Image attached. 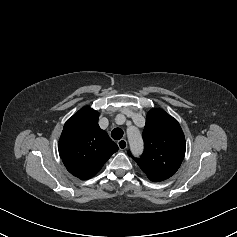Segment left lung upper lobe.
I'll return each instance as SVG.
<instances>
[{
    "label": "left lung upper lobe",
    "instance_id": "5c2ea615",
    "mask_svg": "<svg viewBox=\"0 0 237 237\" xmlns=\"http://www.w3.org/2000/svg\"><path fill=\"white\" fill-rule=\"evenodd\" d=\"M143 140V155L133 158L142 171L154 182L171 177L180 167L186 150L179 123L165 111L153 108L147 114Z\"/></svg>",
    "mask_w": 237,
    "mask_h": 237
}]
</instances>
